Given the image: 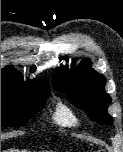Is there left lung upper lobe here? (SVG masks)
Instances as JSON below:
<instances>
[{"instance_id":"5c2ea615","label":"left lung upper lobe","mask_w":123,"mask_h":152,"mask_svg":"<svg viewBox=\"0 0 123 152\" xmlns=\"http://www.w3.org/2000/svg\"><path fill=\"white\" fill-rule=\"evenodd\" d=\"M53 83L75 106L84 109L90 119L112 125V117L107 112L111 98L104 89L105 77L94 71L87 59L71 72L63 68Z\"/></svg>"}]
</instances>
